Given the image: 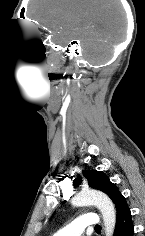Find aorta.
<instances>
[{
	"label": "aorta",
	"mask_w": 145,
	"mask_h": 236,
	"mask_svg": "<svg viewBox=\"0 0 145 236\" xmlns=\"http://www.w3.org/2000/svg\"><path fill=\"white\" fill-rule=\"evenodd\" d=\"M73 206L95 205L99 208L105 227V235L113 236L116 224V211L107 195L96 190H82L71 201Z\"/></svg>",
	"instance_id": "aorta-1"
}]
</instances>
